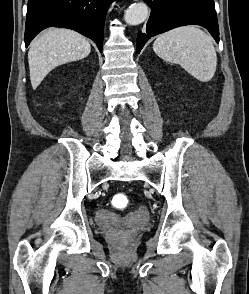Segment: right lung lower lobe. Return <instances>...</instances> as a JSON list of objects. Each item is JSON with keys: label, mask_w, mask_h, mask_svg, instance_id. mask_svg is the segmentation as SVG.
<instances>
[{"label": "right lung lower lobe", "mask_w": 249, "mask_h": 294, "mask_svg": "<svg viewBox=\"0 0 249 294\" xmlns=\"http://www.w3.org/2000/svg\"><path fill=\"white\" fill-rule=\"evenodd\" d=\"M114 0H28L25 46L47 27L73 29L92 39L102 52L104 20Z\"/></svg>", "instance_id": "obj_1"}]
</instances>
